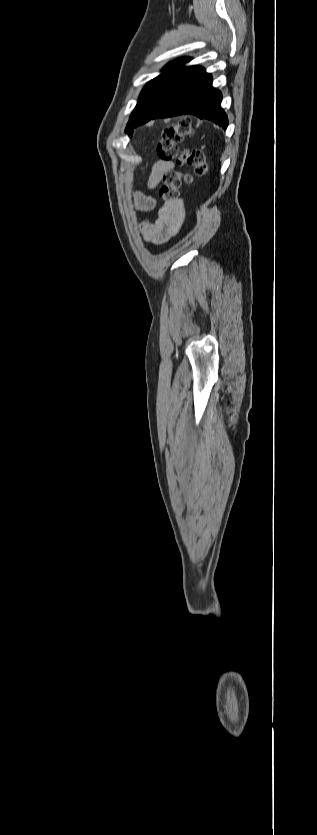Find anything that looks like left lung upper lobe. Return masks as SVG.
Segmentation results:
<instances>
[{
	"label": "left lung upper lobe",
	"mask_w": 317,
	"mask_h": 835,
	"mask_svg": "<svg viewBox=\"0 0 317 835\" xmlns=\"http://www.w3.org/2000/svg\"><path fill=\"white\" fill-rule=\"evenodd\" d=\"M191 58L177 59L163 68V73L150 80L142 89L138 103L129 118L125 132L132 136L133 128L144 124L170 95L180 76L187 69L183 66Z\"/></svg>",
	"instance_id": "obj_1"
}]
</instances>
